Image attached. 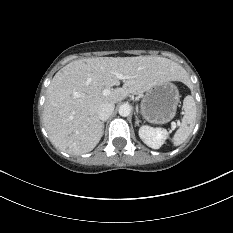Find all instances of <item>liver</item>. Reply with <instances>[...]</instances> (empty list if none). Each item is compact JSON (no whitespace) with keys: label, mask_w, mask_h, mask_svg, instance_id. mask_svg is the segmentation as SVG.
<instances>
[{"label":"liver","mask_w":233,"mask_h":233,"mask_svg":"<svg viewBox=\"0 0 233 233\" xmlns=\"http://www.w3.org/2000/svg\"><path fill=\"white\" fill-rule=\"evenodd\" d=\"M123 86L102 91L119 84ZM185 70L170 59L159 56L93 57L75 60L53 77L47 88L43 122L51 143L69 154L90 152L103 131L98 108L115 104L129 94H142L157 84L182 81Z\"/></svg>","instance_id":"1"}]
</instances>
